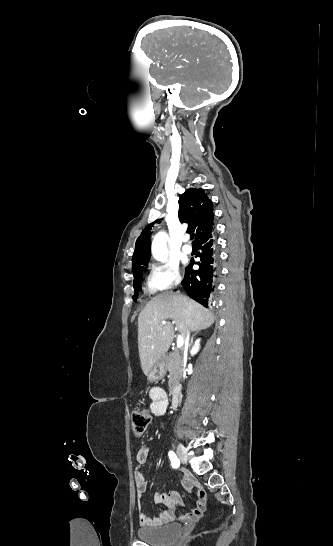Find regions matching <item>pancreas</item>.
I'll return each mask as SVG.
<instances>
[{
	"mask_svg": "<svg viewBox=\"0 0 333 546\" xmlns=\"http://www.w3.org/2000/svg\"><path fill=\"white\" fill-rule=\"evenodd\" d=\"M166 369L169 371V387L173 391L179 385L183 371L182 356L178 351L170 352L166 358Z\"/></svg>",
	"mask_w": 333,
	"mask_h": 546,
	"instance_id": "pancreas-1",
	"label": "pancreas"
}]
</instances>
